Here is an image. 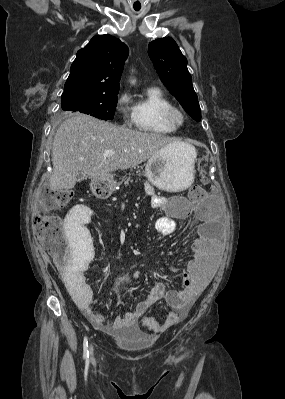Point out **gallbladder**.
Segmentation results:
<instances>
[{
  "mask_svg": "<svg viewBox=\"0 0 285 399\" xmlns=\"http://www.w3.org/2000/svg\"><path fill=\"white\" fill-rule=\"evenodd\" d=\"M84 179H86V175L82 174V173H78L77 174V182H81Z\"/></svg>",
  "mask_w": 285,
  "mask_h": 399,
  "instance_id": "obj_1",
  "label": "gallbladder"
}]
</instances>
